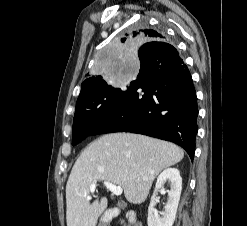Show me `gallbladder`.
<instances>
[{
  "label": "gallbladder",
  "mask_w": 247,
  "mask_h": 226,
  "mask_svg": "<svg viewBox=\"0 0 247 226\" xmlns=\"http://www.w3.org/2000/svg\"><path fill=\"white\" fill-rule=\"evenodd\" d=\"M118 206H119L120 208H122V209H124V208H125V205H124V204H122V203H119V204H118Z\"/></svg>",
  "instance_id": "bac80fb5"
}]
</instances>
